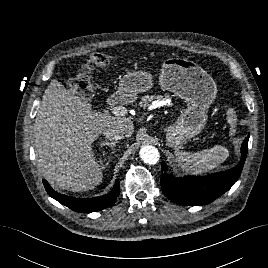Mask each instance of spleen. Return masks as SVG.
Here are the masks:
<instances>
[{
	"label": "spleen",
	"instance_id": "3e777b00",
	"mask_svg": "<svg viewBox=\"0 0 268 268\" xmlns=\"http://www.w3.org/2000/svg\"><path fill=\"white\" fill-rule=\"evenodd\" d=\"M227 122L231 126V134L235 131L237 116L233 108L227 110ZM179 166L186 172L194 175L208 172L229 157V151L220 145L211 149L203 150L196 153L175 151Z\"/></svg>",
	"mask_w": 268,
	"mask_h": 268
}]
</instances>
